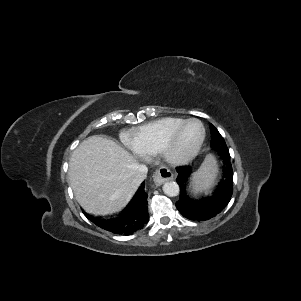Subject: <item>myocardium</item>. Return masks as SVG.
<instances>
[{"label": "myocardium", "mask_w": 301, "mask_h": 301, "mask_svg": "<svg viewBox=\"0 0 301 301\" xmlns=\"http://www.w3.org/2000/svg\"><path fill=\"white\" fill-rule=\"evenodd\" d=\"M191 122H197L200 124L202 128V135L196 146L188 153L184 155H177L174 153V146L176 144V141L184 129L186 125H188ZM206 138V128L203 122L197 118H190L186 119L184 122H182L177 128H175L170 134L166 136L164 141L161 144L159 154L162 157V159L173 166L183 165L189 161H191L201 150L203 143Z\"/></svg>", "instance_id": "myocardium-1"}]
</instances>
